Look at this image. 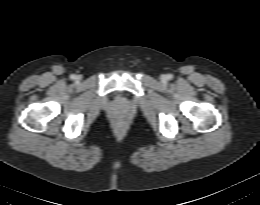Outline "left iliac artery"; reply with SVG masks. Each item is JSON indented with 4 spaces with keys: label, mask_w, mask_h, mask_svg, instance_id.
<instances>
[{
    "label": "left iliac artery",
    "mask_w": 260,
    "mask_h": 205,
    "mask_svg": "<svg viewBox=\"0 0 260 205\" xmlns=\"http://www.w3.org/2000/svg\"><path fill=\"white\" fill-rule=\"evenodd\" d=\"M167 78H168L169 80H171V79L173 78V75H172V74H168V75H167Z\"/></svg>",
    "instance_id": "left-iliac-artery-1"
}]
</instances>
